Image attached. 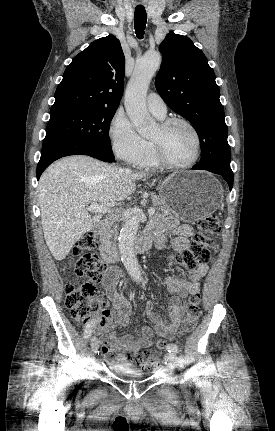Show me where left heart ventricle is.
Here are the masks:
<instances>
[{"label": "left heart ventricle", "mask_w": 275, "mask_h": 431, "mask_svg": "<svg viewBox=\"0 0 275 431\" xmlns=\"http://www.w3.org/2000/svg\"><path fill=\"white\" fill-rule=\"evenodd\" d=\"M151 140L161 142L166 157L173 163H187L195 155L196 142L194 135L183 124L173 125L164 134L161 133L158 127Z\"/></svg>", "instance_id": "b2bd125f"}]
</instances>
